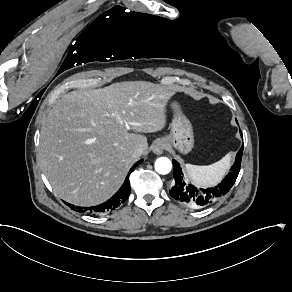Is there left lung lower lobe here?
I'll return each mask as SVG.
<instances>
[{
  "label": "left lung lower lobe",
  "instance_id": "left-lung-lower-lobe-1",
  "mask_svg": "<svg viewBox=\"0 0 292 292\" xmlns=\"http://www.w3.org/2000/svg\"><path fill=\"white\" fill-rule=\"evenodd\" d=\"M242 135V133H241ZM243 145L238 151L235 163L232 166L228 175L222 180L220 184L215 187L207 189H198L193 185H187L183 181L182 171L177 161L173 160V186L169 193L170 195L184 206L189 208H204L210 206L214 202L220 200L225 196L234 185L240 171Z\"/></svg>",
  "mask_w": 292,
  "mask_h": 292
}]
</instances>
